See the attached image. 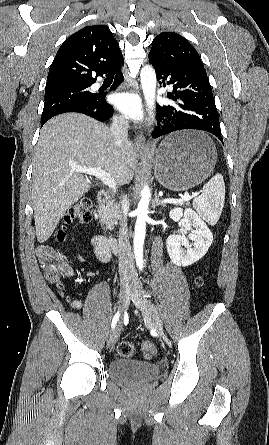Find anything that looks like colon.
<instances>
[{"label": "colon", "mask_w": 269, "mask_h": 445, "mask_svg": "<svg viewBox=\"0 0 269 445\" xmlns=\"http://www.w3.org/2000/svg\"><path fill=\"white\" fill-rule=\"evenodd\" d=\"M91 201L87 198H82L74 203L68 210L64 217L65 225H70L73 222L88 223L92 219L91 215ZM68 239L66 228L58 230L56 233V240L60 243L65 242ZM37 257L46 271L48 279L52 283L58 284L62 273L66 272L67 262L65 255L56 247L52 245H40L37 248ZM195 283L197 286L203 284L201 277L196 278ZM143 347L148 351L145 355L147 359H151L154 354V348L151 343L145 342ZM118 353L124 358H130L135 354V347L131 342L124 341L118 346Z\"/></svg>", "instance_id": "5ec220e1"}]
</instances>
